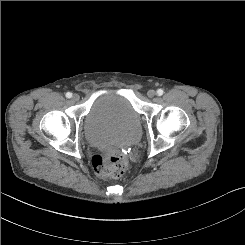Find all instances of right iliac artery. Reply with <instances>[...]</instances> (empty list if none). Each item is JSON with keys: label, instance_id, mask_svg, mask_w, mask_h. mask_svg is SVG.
<instances>
[{"label": "right iliac artery", "instance_id": "right-iliac-artery-1", "mask_svg": "<svg viewBox=\"0 0 245 245\" xmlns=\"http://www.w3.org/2000/svg\"><path fill=\"white\" fill-rule=\"evenodd\" d=\"M66 97H67V98H71V97H72V93L67 92V93H66Z\"/></svg>", "mask_w": 245, "mask_h": 245}]
</instances>
